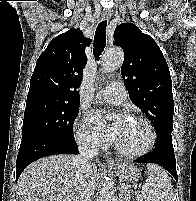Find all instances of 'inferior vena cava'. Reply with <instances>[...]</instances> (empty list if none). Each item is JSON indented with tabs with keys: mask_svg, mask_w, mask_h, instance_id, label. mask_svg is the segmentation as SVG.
Masks as SVG:
<instances>
[{
	"mask_svg": "<svg viewBox=\"0 0 196 201\" xmlns=\"http://www.w3.org/2000/svg\"><path fill=\"white\" fill-rule=\"evenodd\" d=\"M79 154L74 158L76 165V174L80 176L83 170L86 169L92 162L93 158L98 154L97 145L88 138H81L78 140ZM79 201H92L91 195L82 193Z\"/></svg>",
	"mask_w": 196,
	"mask_h": 201,
	"instance_id": "1",
	"label": "inferior vena cava"
}]
</instances>
